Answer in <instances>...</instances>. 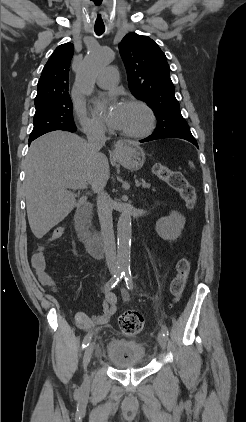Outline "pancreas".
<instances>
[{
	"label": "pancreas",
	"mask_w": 246,
	"mask_h": 422,
	"mask_svg": "<svg viewBox=\"0 0 246 422\" xmlns=\"http://www.w3.org/2000/svg\"><path fill=\"white\" fill-rule=\"evenodd\" d=\"M142 186H143L144 188H149V187H150V184H149V183H145V182L143 181Z\"/></svg>",
	"instance_id": "cf45deb5"
}]
</instances>
